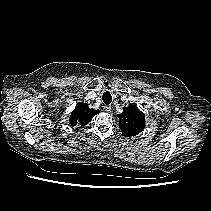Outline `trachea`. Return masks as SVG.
Returning a JSON list of instances; mask_svg holds the SVG:
<instances>
[{
    "label": "trachea",
    "instance_id": "trachea-1",
    "mask_svg": "<svg viewBox=\"0 0 211 211\" xmlns=\"http://www.w3.org/2000/svg\"><path fill=\"white\" fill-rule=\"evenodd\" d=\"M102 99L106 105H109L112 102V96H111L110 92H108V91L104 92Z\"/></svg>",
    "mask_w": 211,
    "mask_h": 211
}]
</instances>
